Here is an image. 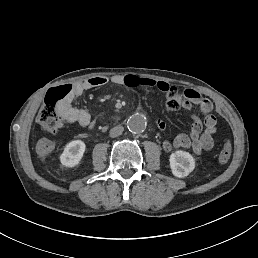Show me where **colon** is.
<instances>
[{
    "label": "colon",
    "mask_w": 258,
    "mask_h": 258,
    "mask_svg": "<svg viewBox=\"0 0 258 258\" xmlns=\"http://www.w3.org/2000/svg\"><path fill=\"white\" fill-rule=\"evenodd\" d=\"M74 95V85L67 83L48 90L44 103L39 111L37 120L42 130L46 133L56 134L63 127L61 107ZM183 94L175 87H170L166 92V106L169 110H177L182 106ZM232 153V147L226 142L221 148L218 161L226 164Z\"/></svg>",
    "instance_id": "1"
}]
</instances>
